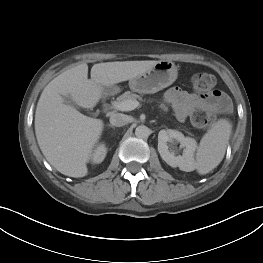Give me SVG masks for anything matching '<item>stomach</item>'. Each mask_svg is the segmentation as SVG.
<instances>
[{"mask_svg":"<svg viewBox=\"0 0 263 263\" xmlns=\"http://www.w3.org/2000/svg\"><path fill=\"white\" fill-rule=\"evenodd\" d=\"M177 68L172 61L160 60L145 72L129 80L132 91L145 94L156 93L170 86L177 78ZM118 90L115 87H103V90Z\"/></svg>","mask_w":263,"mask_h":263,"instance_id":"obj_1","label":"stomach"}]
</instances>
